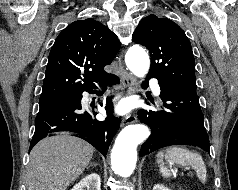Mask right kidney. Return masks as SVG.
Instances as JSON below:
<instances>
[{
	"mask_svg": "<svg viewBox=\"0 0 238 190\" xmlns=\"http://www.w3.org/2000/svg\"><path fill=\"white\" fill-rule=\"evenodd\" d=\"M100 187H101L100 176L96 173H92L84 177L71 190H100Z\"/></svg>",
	"mask_w": 238,
	"mask_h": 190,
	"instance_id": "obj_1",
	"label": "right kidney"
}]
</instances>
